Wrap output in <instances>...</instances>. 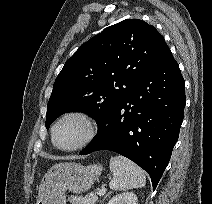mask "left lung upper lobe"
I'll use <instances>...</instances> for the list:
<instances>
[{"label":"left lung upper lobe","instance_id":"5c2ea615","mask_svg":"<svg viewBox=\"0 0 212 204\" xmlns=\"http://www.w3.org/2000/svg\"><path fill=\"white\" fill-rule=\"evenodd\" d=\"M168 51L163 36L142 20L107 27L65 63L47 105L46 128L71 111L86 112L99 126Z\"/></svg>","mask_w":212,"mask_h":204}]
</instances>
